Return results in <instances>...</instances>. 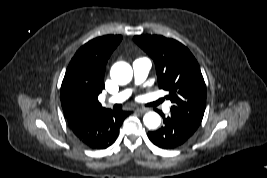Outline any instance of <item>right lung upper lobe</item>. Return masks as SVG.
<instances>
[{
  "mask_svg": "<svg viewBox=\"0 0 267 178\" xmlns=\"http://www.w3.org/2000/svg\"><path fill=\"white\" fill-rule=\"evenodd\" d=\"M122 36L106 35L84 44L73 56L61 85V105L68 122L79 115L102 111L98 95L108 58Z\"/></svg>",
  "mask_w": 267,
  "mask_h": 178,
  "instance_id": "right-lung-upper-lobe-1",
  "label": "right lung upper lobe"
}]
</instances>
